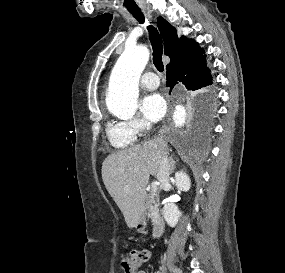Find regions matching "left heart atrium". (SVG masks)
<instances>
[{"label":"left heart atrium","mask_w":285,"mask_h":273,"mask_svg":"<svg viewBox=\"0 0 285 273\" xmlns=\"http://www.w3.org/2000/svg\"><path fill=\"white\" fill-rule=\"evenodd\" d=\"M140 110L147 120L157 122L166 112V103L160 94H150L142 99Z\"/></svg>","instance_id":"1"}]
</instances>
